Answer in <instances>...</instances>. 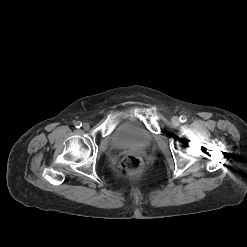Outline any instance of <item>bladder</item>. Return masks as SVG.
<instances>
[{
	"label": "bladder",
	"instance_id": "obj_1",
	"mask_svg": "<svg viewBox=\"0 0 247 247\" xmlns=\"http://www.w3.org/2000/svg\"><path fill=\"white\" fill-rule=\"evenodd\" d=\"M151 142V133L132 119L121 123L111 138L112 145L118 148H146Z\"/></svg>",
	"mask_w": 247,
	"mask_h": 247
}]
</instances>
